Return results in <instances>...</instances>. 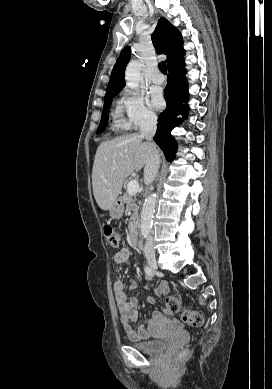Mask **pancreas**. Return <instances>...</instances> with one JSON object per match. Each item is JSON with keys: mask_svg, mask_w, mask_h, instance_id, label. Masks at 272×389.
Wrapping results in <instances>:
<instances>
[{"mask_svg": "<svg viewBox=\"0 0 272 389\" xmlns=\"http://www.w3.org/2000/svg\"><path fill=\"white\" fill-rule=\"evenodd\" d=\"M122 199H123L124 203H126V212H128L130 210L133 211L131 221L129 222V225H128L129 230L132 231L136 225V220L138 218L139 206L136 203L137 199H136L135 195H131L128 192L125 195H123Z\"/></svg>", "mask_w": 272, "mask_h": 389, "instance_id": "obj_1", "label": "pancreas"}]
</instances>
